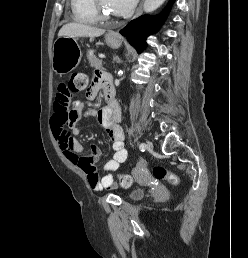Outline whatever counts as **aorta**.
I'll return each instance as SVG.
<instances>
[{"mask_svg":"<svg viewBox=\"0 0 248 258\" xmlns=\"http://www.w3.org/2000/svg\"><path fill=\"white\" fill-rule=\"evenodd\" d=\"M165 0H145L144 2V11L147 13L153 12L158 7H160Z\"/></svg>","mask_w":248,"mask_h":258,"instance_id":"aorta-1","label":"aorta"}]
</instances>
